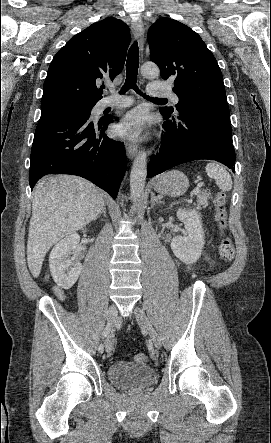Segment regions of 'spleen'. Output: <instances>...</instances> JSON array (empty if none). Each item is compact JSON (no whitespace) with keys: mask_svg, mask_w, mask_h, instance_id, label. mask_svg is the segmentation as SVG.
I'll list each match as a JSON object with an SVG mask.
<instances>
[{"mask_svg":"<svg viewBox=\"0 0 271 443\" xmlns=\"http://www.w3.org/2000/svg\"><path fill=\"white\" fill-rule=\"evenodd\" d=\"M206 174L212 180H215L218 188L222 190V192H229L232 190V180L230 174H228L227 170L217 164V162H210L206 166Z\"/></svg>","mask_w":271,"mask_h":443,"instance_id":"obj_1","label":"spleen"}]
</instances>
